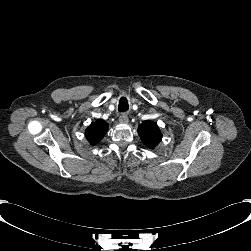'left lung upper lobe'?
<instances>
[{
  "instance_id": "left-lung-upper-lobe-1",
  "label": "left lung upper lobe",
  "mask_w": 251,
  "mask_h": 251,
  "mask_svg": "<svg viewBox=\"0 0 251 251\" xmlns=\"http://www.w3.org/2000/svg\"><path fill=\"white\" fill-rule=\"evenodd\" d=\"M138 134L143 143L149 148L156 147L162 138V134L157 124L149 120L144 121L139 125Z\"/></svg>"
}]
</instances>
